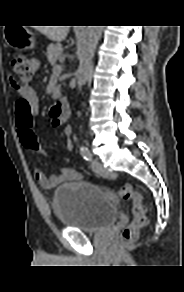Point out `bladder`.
Wrapping results in <instances>:
<instances>
[{"label": "bladder", "instance_id": "1", "mask_svg": "<svg viewBox=\"0 0 184 292\" xmlns=\"http://www.w3.org/2000/svg\"><path fill=\"white\" fill-rule=\"evenodd\" d=\"M52 208L62 226L97 234L117 220L119 200L94 184L68 183L54 192Z\"/></svg>", "mask_w": 184, "mask_h": 292}]
</instances>
